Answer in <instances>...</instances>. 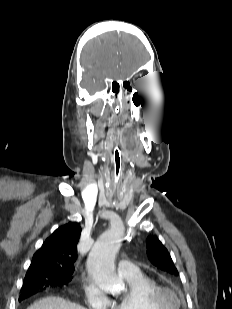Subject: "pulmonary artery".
I'll return each mask as SVG.
<instances>
[{"mask_svg": "<svg viewBox=\"0 0 232 309\" xmlns=\"http://www.w3.org/2000/svg\"><path fill=\"white\" fill-rule=\"evenodd\" d=\"M119 273L125 276H131L139 272V268L128 260H120L118 262Z\"/></svg>", "mask_w": 232, "mask_h": 309, "instance_id": "obj_1", "label": "pulmonary artery"}]
</instances>
